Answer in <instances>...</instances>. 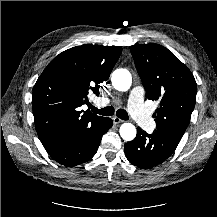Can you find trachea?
I'll return each instance as SVG.
<instances>
[{"mask_svg":"<svg viewBox=\"0 0 217 217\" xmlns=\"http://www.w3.org/2000/svg\"><path fill=\"white\" fill-rule=\"evenodd\" d=\"M90 109L94 112L97 113L99 115H103V116H111L114 114L115 110L113 106H107L101 109H98L94 106H90ZM116 115L122 119V120H128L129 116L128 113L124 110V109H118L116 111Z\"/></svg>","mask_w":217,"mask_h":217,"instance_id":"trachea-1","label":"trachea"}]
</instances>
